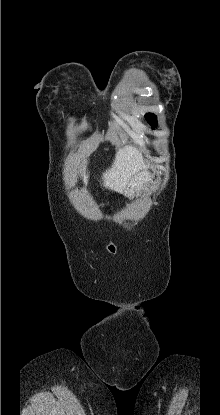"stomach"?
Segmentation results:
<instances>
[{
    "instance_id": "1",
    "label": "stomach",
    "mask_w": 220,
    "mask_h": 415,
    "mask_svg": "<svg viewBox=\"0 0 220 415\" xmlns=\"http://www.w3.org/2000/svg\"><path fill=\"white\" fill-rule=\"evenodd\" d=\"M151 180V174L148 171H139L132 181L125 187L123 193L129 197L138 195Z\"/></svg>"
}]
</instances>
